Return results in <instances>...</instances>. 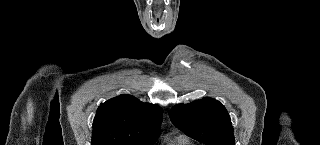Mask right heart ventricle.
Listing matches in <instances>:
<instances>
[{
    "label": "right heart ventricle",
    "mask_w": 320,
    "mask_h": 145,
    "mask_svg": "<svg viewBox=\"0 0 320 145\" xmlns=\"http://www.w3.org/2000/svg\"><path fill=\"white\" fill-rule=\"evenodd\" d=\"M166 145H195L193 141L186 135L180 134L169 139Z\"/></svg>",
    "instance_id": "obj_1"
}]
</instances>
